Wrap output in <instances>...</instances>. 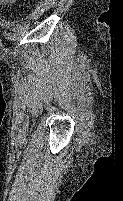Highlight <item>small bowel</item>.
<instances>
[{
	"label": "small bowel",
	"mask_w": 123,
	"mask_h": 201,
	"mask_svg": "<svg viewBox=\"0 0 123 201\" xmlns=\"http://www.w3.org/2000/svg\"><path fill=\"white\" fill-rule=\"evenodd\" d=\"M17 0H0V6L9 7L13 5Z\"/></svg>",
	"instance_id": "1"
}]
</instances>
